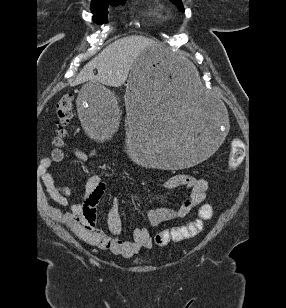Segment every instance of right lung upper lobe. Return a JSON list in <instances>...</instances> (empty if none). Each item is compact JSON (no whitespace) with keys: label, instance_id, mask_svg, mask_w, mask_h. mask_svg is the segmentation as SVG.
Instances as JSON below:
<instances>
[{"label":"right lung upper lobe","instance_id":"right-lung-upper-lobe-1","mask_svg":"<svg viewBox=\"0 0 286 308\" xmlns=\"http://www.w3.org/2000/svg\"><path fill=\"white\" fill-rule=\"evenodd\" d=\"M116 0H92V4H104Z\"/></svg>","mask_w":286,"mask_h":308}]
</instances>
